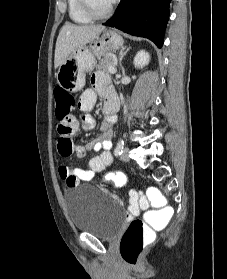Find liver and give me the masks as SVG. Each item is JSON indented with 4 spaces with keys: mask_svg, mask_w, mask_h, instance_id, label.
<instances>
[{
    "mask_svg": "<svg viewBox=\"0 0 227 279\" xmlns=\"http://www.w3.org/2000/svg\"><path fill=\"white\" fill-rule=\"evenodd\" d=\"M105 29L102 25L66 23L60 30L55 47L54 67L58 68L78 47L90 43Z\"/></svg>",
    "mask_w": 227,
    "mask_h": 279,
    "instance_id": "liver-1",
    "label": "liver"
}]
</instances>
